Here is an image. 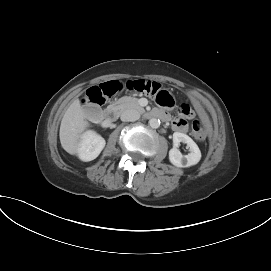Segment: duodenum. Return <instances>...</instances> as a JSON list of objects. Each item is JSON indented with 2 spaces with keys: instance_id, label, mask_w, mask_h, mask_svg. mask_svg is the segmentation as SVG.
Here are the masks:
<instances>
[{
  "instance_id": "1",
  "label": "duodenum",
  "mask_w": 271,
  "mask_h": 271,
  "mask_svg": "<svg viewBox=\"0 0 271 271\" xmlns=\"http://www.w3.org/2000/svg\"><path fill=\"white\" fill-rule=\"evenodd\" d=\"M117 114H118L117 108L115 106H109L101 113V120L104 123L110 125L115 121ZM148 116L161 118L163 120L168 119V116L161 111H152L148 114ZM91 117L95 118L94 114H91Z\"/></svg>"
}]
</instances>
